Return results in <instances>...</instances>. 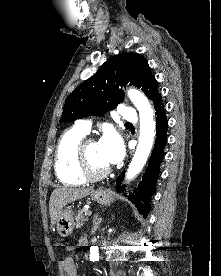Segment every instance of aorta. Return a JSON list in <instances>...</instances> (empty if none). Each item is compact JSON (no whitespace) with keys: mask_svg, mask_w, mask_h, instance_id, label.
Here are the masks:
<instances>
[{"mask_svg":"<svg viewBox=\"0 0 221 276\" xmlns=\"http://www.w3.org/2000/svg\"><path fill=\"white\" fill-rule=\"evenodd\" d=\"M129 98L139 111L140 117V136L139 143L134 157L128 167L126 179L132 180L144 167L149 157L155 136V121L153 119V109L147 97L135 89L128 91ZM99 250L97 247L90 249V260L98 261Z\"/></svg>","mask_w":221,"mask_h":276,"instance_id":"obj_1","label":"aorta"}]
</instances>
